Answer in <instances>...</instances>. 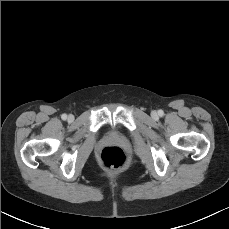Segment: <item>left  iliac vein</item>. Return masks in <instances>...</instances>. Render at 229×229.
Returning <instances> with one entry per match:
<instances>
[{
    "mask_svg": "<svg viewBox=\"0 0 229 229\" xmlns=\"http://www.w3.org/2000/svg\"><path fill=\"white\" fill-rule=\"evenodd\" d=\"M152 116H153L154 118H156V117H157V112H156V111H153V112H152Z\"/></svg>",
    "mask_w": 229,
    "mask_h": 229,
    "instance_id": "obj_1",
    "label": "left iliac vein"
}]
</instances>
